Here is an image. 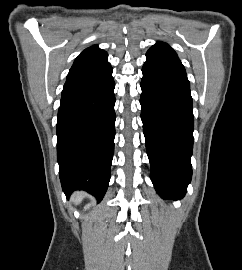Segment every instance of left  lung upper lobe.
<instances>
[{
    "label": "left lung upper lobe",
    "instance_id": "left-lung-upper-lobe-1",
    "mask_svg": "<svg viewBox=\"0 0 242 270\" xmlns=\"http://www.w3.org/2000/svg\"><path fill=\"white\" fill-rule=\"evenodd\" d=\"M147 58L180 61L175 51L164 42H157L146 53Z\"/></svg>",
    "mask_w": 242,
    "mask_h": 270
}]
</instances>
